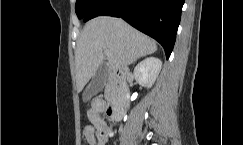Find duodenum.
I'll return each mask as SVG.
<instances>
[{"mask_svg": "<svg viewBox=\"0 0 243 145\" xmlns=\"http://www.w3.org/2000/svg\"><path fill=\"white\" fill-rule=\"evenodd\" d=\"M111 76L116 82V91L109 99L106 112L113 120L120 121L124 118L128 108L129 90L125 84L127 72L117 69L111 73Z\"/></svg>", "mask_w": 243, "mask_h": 145, "instance_id": "410a0bca", "label": "duodenum"}]
</instances>
